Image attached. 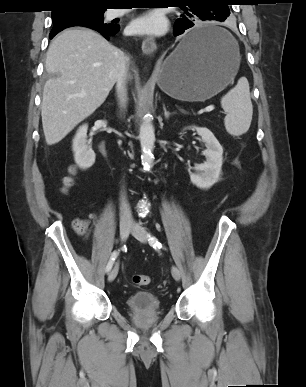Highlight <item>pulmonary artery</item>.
Masks as SVG:
<instances>
[{"label":"pulmonary artery","instance_id":"obj_1","mask_svg":"<svg viewBox=\"0 0 306 387\" xmlns=\"http://www.w3.org/2000/svg\"><path fill=\"white\" fill-rule=\"evenodd\" d=\"M127 11H128V10H126V9H113V10H110V11L108 12V16H109L110 18L119 17V16L125 14Z\"/></svg>","mask_w":306,"mask_h":387}]
</instances>
